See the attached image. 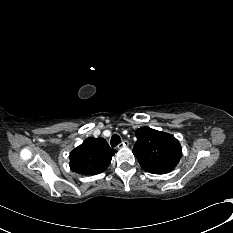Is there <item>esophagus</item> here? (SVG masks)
<instances>
[{
	"mask_svg": "<svg viewBox=\"0 0 233 233\" xmlns=\"http://www.w3.org/2000/svg\"><path fill=\"white\" fill-rule=\"evenodd\" d=\"M128 145H129V143H128V141H123L122 143H120L118 146H117V148L120 150V149H123V148H125V147H128Z\"/></svg>",
	"mask_w": 233,
	"mask_h": 233,
	"instance_id": "obj_1",
	"label": "esophagus"
}]
</instances>
